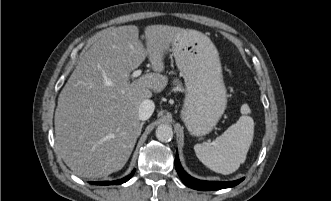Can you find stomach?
<instances>
[{
    "label": "stomach",
    "mask_w": 331,
    "mask_h": 201,
    "mask_svg": "<svg viewBox=\"0 0 331 201\" xmlns=\"http://www.w3.org/2000/svg\"><path fill=\"white\" fill-rule=\"evenodd\" d=\"M171 51L186 86L181 118L191 135H206L227 105L218 51L209 37L196 30H185Z\"/></svg>",
    "instance_id": "1"
}]
</instances>
